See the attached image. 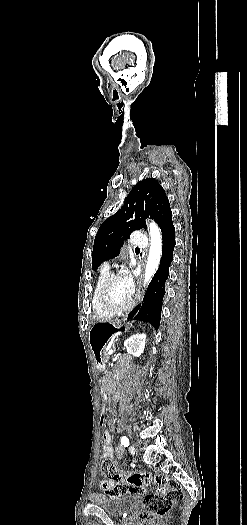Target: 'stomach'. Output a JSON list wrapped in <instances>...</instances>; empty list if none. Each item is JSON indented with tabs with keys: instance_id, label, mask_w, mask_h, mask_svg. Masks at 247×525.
Listing matches in <instances>:
<instances>
[{
	"instance_id": "1",
	"label": "stomach",
	"mask_w": 247,
	"mask_h": 525,
	"mask_svg": "<svg viewBox=\"0 0 247 525\" xmlns=\"http://www.w3.org/2000/svg\"><path fill=\"white\" fill-rule=\"evenodd\" d=\"M131 323H96L89 331V345L98 365L103 364L101 351L106 343L115 335L128 330Z\"/></svg>"
}]
</instances>
